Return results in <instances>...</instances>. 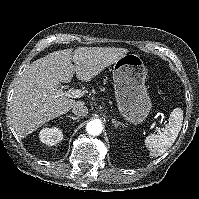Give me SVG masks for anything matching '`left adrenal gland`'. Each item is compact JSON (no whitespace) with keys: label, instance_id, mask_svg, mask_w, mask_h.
<instances>
[{"label":"left adrenal gland","instance_id":"left-adrenal-gland-1","mask_svg":"<svg viewBox=\"0 0 199 199\" xmlns=\"http://www.w3.org/2000/svg\"><path fill=\"white\" fill-rule=\"evenodd\" d=\"M112 123L114 124L115 128H117L119 125H122L120 122L116 121L115 119H112Z\"/></svg>","mask_w":199,"mask_h":199}]
</instances>
